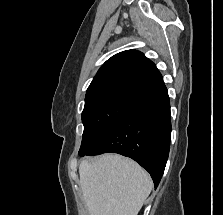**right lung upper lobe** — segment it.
<instances>
[{"label": "right lung upper lobe", "mask_w": 223, "mask_h": 215, "mask_svg": "<svg viewBox=\"0 0 223 215\" xmlns=\"http://www.w3.org/2000/svg\"><path fill=\"white\" fill-rule=\"evenodd\" d=\"M165 87L155 64L136 50H126L108 59L89 85L85 101L110 91L125 90L142 96Z\"/></svg>", "instance_id": "obj_1"}]
</instances>
